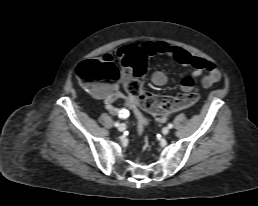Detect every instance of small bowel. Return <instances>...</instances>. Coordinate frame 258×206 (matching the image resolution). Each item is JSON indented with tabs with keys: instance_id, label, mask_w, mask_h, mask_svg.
<instances>
[{
	"instance_id": "small-bowel-1",
	"label": "small bowel",
	"mask_w": 258,
	"mask_h": 206,
	"mask_svg": "<svg viewBox=\"0 0 258 206\" xmlns=\"http://www.w3.org/2000/svg\"><path fill=\"white\" fill-rule=\"evenodd\" d=\"M136 54H143L144 56L166 55L181 65L192 67L194 69L193 72L183 76L180 80V87L185 92H192L197 89L195 79L203 73H205L201 79V86L203 88H209L221 79V73L213 62L191 55L183 48L171 46L164 41H147L142 44H128L118 50L116 57L110 55H107L106 57L113 62L116 60L123 62L125 59L135 56ZM151 80L154 85L163 86L167 83L168 78L164 72L156 71L153 73ZM99 96L104 98L106 107L111 114L121 118L128 116V111L126 109L119 108L114 104L116 101H123L126 103L130 101L124 93L118 90V88H103L99 92ZM157 120L159 122H164L166 116L158 115Z\"/></svg>"
}]
</instances>
